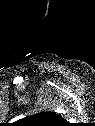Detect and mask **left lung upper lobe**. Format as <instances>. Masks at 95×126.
Wrapping results in <instances>:
<instances>
[{"mask_svg":"<svg viewBox=\"0 0 95 126\" xmlns=\"http://www.w3.org/2000/svg\"><path fill=\"white\" fill-rule=\"evenodd\" d=\"M26 126H61L64 119L60 114L51 111L40 112L22 120Z\"/></svg>","mask_w":95,"mask_h":126,"instance_id":"5c2ea615","label":"left lung upper lobe"}]
</instances>
